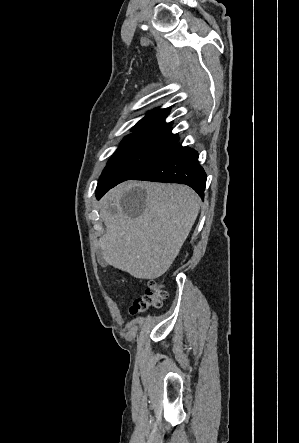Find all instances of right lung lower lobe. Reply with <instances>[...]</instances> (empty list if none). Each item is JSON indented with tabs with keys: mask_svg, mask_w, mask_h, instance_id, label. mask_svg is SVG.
Listing matches in <instances>:
<instances>
[{
	"mask_svg": "<svg viewBox=\"0 0 299 443\" xmlns=\"http://www.w3.org/2000/svg\"><path fill=\"white\" fill-rule=\"evenodd\" d=\"M131 179L185 184L199 193L201 198L204 197L206 185V173L199 165L197 152L177 143L161 158ZM114 186L110 185L97 191V198L100 199Z\"/></svg>",
	"mask_w": 299,
	"mask_h": 443,
	"instance_id": "98d812e1",
	"label": "right lung lower lobe"
}]
</instances>
